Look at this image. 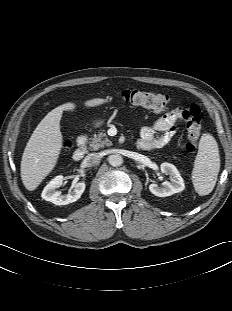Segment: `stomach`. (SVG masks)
<instances>
[{"instance_id":"stomach-1","label":"stomach","mask_w":232,"mask_h":311,"mask_svg":"<svg viewBox=\"0 0 232 311\" xmlns=\"http://www.w3.org/2000/svg\"><path fill=\"white\" fill-rule=\"evenodd\" d=\"M103 124V121L102 120H99V121H97L96 123H95V126L96 127H99L100 125H102Z\"/></svg>"}]
</instances>
